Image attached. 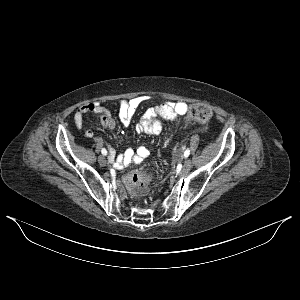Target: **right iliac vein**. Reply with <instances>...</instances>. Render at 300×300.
I'll list each match as a JSON object with an SVG mask.
<instances>
[{
  "label": "right iliac vein",
  "mask_w": 300,
  "mask_h": 300,
  "mask_svg": "<svg viewBox=\"0 0 300 300\" xmlns=\"http://www.w3.org/2000/svg\"><path fill=\"white\" fill-rule=\"evenodd\" d=\"M98 162H99V164H100L101 166H105L106 163H107L106 158H105L103 155H100V156L98 157Z\"/></svg>",
  "instance_id": "obj_1"
}]
</instances>
